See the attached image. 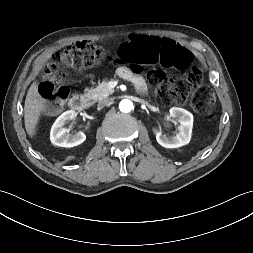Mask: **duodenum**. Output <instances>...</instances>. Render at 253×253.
<instances>
[{"label": "duodenum", "instance_id": "obj_1", "mask_svg": "<svg viewBox=\"0 0 253 253\" xmlns=\"http://www.w3.org/2000/svg\"><path fill=\"white\" fill-rule=\"evenodd\" d=\"M69 105L73 110H84L89 106V98L82 94H76L70 99Z\"/></svg>", "mask_w": 253, "mask_h": 253}]
</instances>
